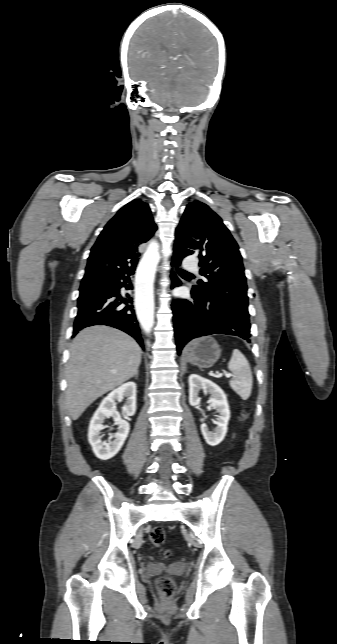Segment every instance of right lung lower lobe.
Masks as SVG:
<instances>
[{"label": "right lung lower lobe", "instance_id": "98d812e1", "mask_svg": "<svg viewBox=\"0 0 337 644\" xmlns=\"http://www.w3.org/2000/svg\"><path fill=\"white\" fill-rule=\"evenodd\" d=\"M136 266L128 267L107 281L108 286L84 300L78 301V313L74 322L73 336L81 329L93 325H107L131 335L143 348L133 299L122 297L120 289H132L131 275Z\"/></svg>", "mask_w": 337, "mask_h": 644}]
</instances>
